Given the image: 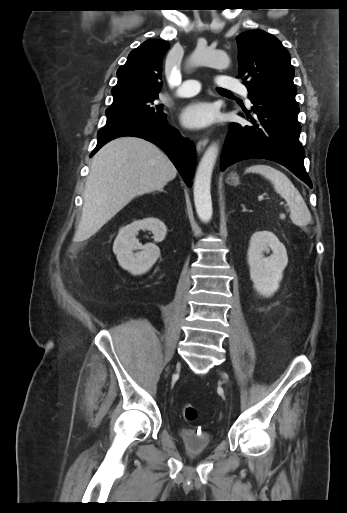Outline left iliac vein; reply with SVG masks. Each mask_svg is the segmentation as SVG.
Here are the masks:
<instances>
[{
	"instance_id": "1",
	"label": "left iliac vein",
	"mask_w": 347,
	"mask_h": 513,
	"mask_svg": "<svg viewBox=\"0 0 347 513\" xmlns=\"http://www.w3.org/2000/svg\"><path fill=\"white\" fill-rule=\"evenodd\" d=\"M221 377H222V379H223V381L225 383L229 382V378H228V375L226 373H221Z\"/></svg>"
}]
</instances>
